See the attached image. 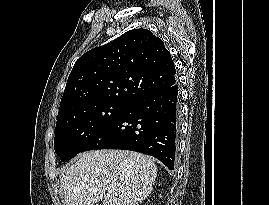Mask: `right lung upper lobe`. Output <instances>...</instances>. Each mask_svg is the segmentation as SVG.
Segmentation results:
<instances>
[{
  "label": "right lung upper lobe",
  "instance_id": "cb5924a9",
  "mask_svg": "<svg viewBox=\"0 0 269 205\" xmlns=\"http://www.w3.org/2000/svg\"><path fill=\"white\" fill-rule=\"evenodd\" d=\"M175 84V66L163 41L149 30H130L76 61L57 119L101 102L130 104Z\"/></svg>",
  "mask_w": 269,
  "mask_h": 205
}]
</instances>
